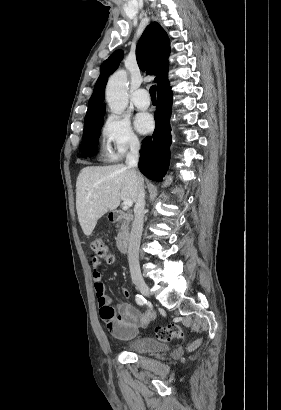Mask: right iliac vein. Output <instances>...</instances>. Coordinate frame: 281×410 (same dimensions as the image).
<instances>
[{
  "label": "right iliac vein",
  "mask_w": 281,
  "mask_h": 410,
  "mask_svg": "<svg viewBox=\"0 0 281 410\" xmlns=\"http://www.w3.org/2000/svg\"><path fill=\"white\" fill-rule=\"evenodd\" d=\"M135 285H136V287L138 288V290H139L144 296H146V297H149V296H150L149 287H148V285H147L144 281H142V280L137 281V282L135 283Z\"/></svg>",
  "instance_id": "right-iliac-vein-1"
}]
</instances>
